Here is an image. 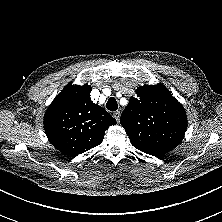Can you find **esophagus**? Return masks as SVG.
Returning a JSON list of instances; mask_svg holds the SVG:
<instances>
[{
  "label": "esophagus",
  "instance_id": "esophagus-1",
  "mask_svg": "<svg viewBox=\"0 0 222 222\" xmlns=\"http://www.w3.org/2000/svg\"><path fill=\"white\" fill-rule=\"evenodd\" d=\"M120 111H116L113 113V117L116 119L117 122L120 121Z\"/></svg>",
  "mask_w": 222,
  "mask_h": 222
}]
</instances>
